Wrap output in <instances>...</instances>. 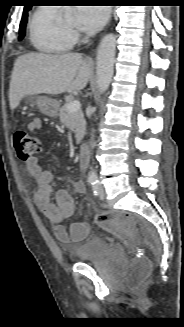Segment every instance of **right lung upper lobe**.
I'll use <instances>...</instances> for the list:
<instances>
[{
    "label": "right lung upper lobe",
    "instance_id": "1",
    "mask_svg": "<svg viewBox=\"0 0 184 327\" xmlns=\"http://www.w3.org/2000/svg\"><path fill=\"white\" fill-rule=\"evenodd\" d=\"M25 13H27V8L26 7L24 8L23 14H25Z\"/></svg>",
    "mask_w": 184,
    "mask_h": 327
}]
</instances>
